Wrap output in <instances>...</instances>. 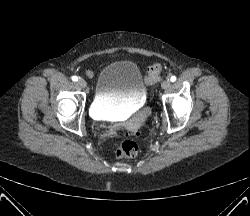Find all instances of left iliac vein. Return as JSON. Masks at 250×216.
Listing matches in <instances>:
<instances>
[{"label":"left iliac vein","instance_id":"left-iliac-vein-1","mask_svg":"<svg viewBox=\"0 0 250 216\" xmlns=\"http://www.w3.org/2000/svg\"><path fill=\"white\" fill-rule=\"evenodd\" d=\"M170 86H171V82H170L169 79L164 80V81L162 82V84H161V87H162L163 89H168Z\"/></svg>","mask_w":250,"mask_h":216}]
</instances>
